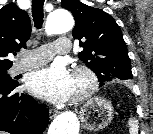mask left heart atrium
<instances>
[{"instance_id": "39dd6f15", "label": "left heart atrium", "mask_w": 153, "mask_h": 134, "mask_svg": "<svg viewBox=\"0 0 153 134\" xmlns=\"http://www.w3.org/2000/svg\"><path fill=\"white\" fill-rule=\"evenodd\" d=\"M27 88L37 97L62 103L73 96V76L64 64L54 63L30 73Z\"/></svg>"}]
</instances>
